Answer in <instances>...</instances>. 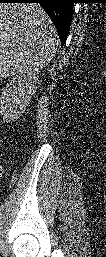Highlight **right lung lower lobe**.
Segmentation results:
<instances>
[{
    "label": "right lung lower lobe",
    "instance_id": "right-lung-lower-lobe-1",
    "mask_svg": "<svg viewBox=\"0 0 106 257\" xmlns=\"http://www.w3.org/2000/svg\"><path fill=\"white\" fill-rule=\"evenodd\" d=\"M75 0H1V3H39L55 25L61 40L65 44L72 20Z\"/></svg>",
    "mask_w": 106,
    "mask_h": 257
}]
</instances>
